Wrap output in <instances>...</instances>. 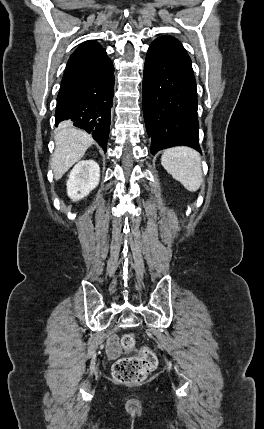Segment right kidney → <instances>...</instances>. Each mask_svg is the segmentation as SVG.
Segmentation results:
<instances>
[{
    "instance_id": "obj_1",
    "label": "right kidney",
    "mask_w": 264,
    "mask_h": 429,
    "mask_svg": "<svg viewBox=\"0 0 264 429\" xmlns=\"http://www.w3.org/2000/svg\"><path fill=\"white\" fill-rule=\"evenodd\" d=\"M100 180V167L94 160L78 162L70 172L67 181V194L77 201L86 197L95 189Z\"/></svg>"
}]
</instances>
